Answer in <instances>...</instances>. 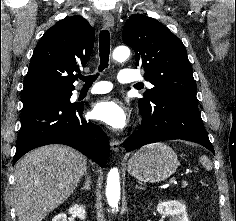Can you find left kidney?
I'll return each mask as SVG.
<instances>
[{"instance_id": "obj_1", "label": "left kidney", "mask_w": 236, "mask_h": 221, "mask_svg": "<svg viewBox=\"0 0 236 221\" xmlns=\"http://www.w3.org/2000/svg\"><path fill=\"white\" fill-rule=\"evenodd\" d=\"M159 213L170 218V221H189L186 206L179 201L160 202L156 209Z\"/></svg>"}]
</instances>
